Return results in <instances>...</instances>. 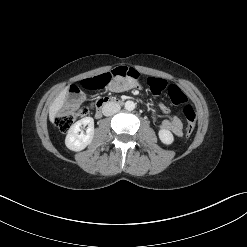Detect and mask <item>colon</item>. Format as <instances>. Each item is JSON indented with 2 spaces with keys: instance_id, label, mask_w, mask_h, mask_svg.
<instances>
[{
  "instance_id": "1",
  "label": "colon",
  "mask_w": 247,
  "mask_h": 247,
  "mask_svg": "<svg viewBox=\"0 0 247 247\" xmlns=\"http://www.w3.org/2000/svg\"><path fill=\"white\" fill-rule=\"evenodd\" d=\"M117 77H130L132 79L138 78V73L126 67H119L114 70H107L104 73L97 74L95 76H89L83 86L87 89H96L97 87L107 86L115 82ZM151 92L154 95L167 94L170 101L174 105H183V115L186 119V136L189 137L196 124V112L194 108L187 104V97L176 85L168 84L162 79L150 77L147 80ZM80 92L78 87H75L72 93L73 103L69 104L65 108V112L56 118V126L61 132H67L72 125L80 118L84 117L88 113L87 107L79 108L75 103L77 100V94Z\"/></svg>"
}]
</instances>
